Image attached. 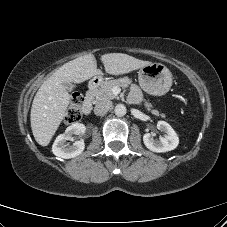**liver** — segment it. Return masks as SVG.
<instances>
[{
    "label": "liver",
    "mask_w": 227,
    "mask_h": 227,
    "mask_svg": "<svg viewBox=\"0 0 227 227\" xmlns=\"http://www.w3.org/2000/svg\"><path fill=\"white\" fill-rule=\"evenodd\" d=\"M105 71L121 75L151 64L123 53H108L100 57ZM93 54H87L65 63L39 88L31 107V129L37 143L47 146L57 131L70 102L64 84L82 83L95 75H101Z\"/></svg>",
    "instance_id": "obj_1"
}]
</instances>
